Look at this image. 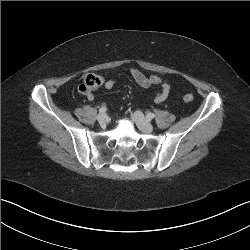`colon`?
Wrapping results in <instances>:
<instances>
[{"instance_id":"5ec220e1","label":"colon","mask_w":250,"mask_h":250,"mask_svg":"<svg viewBox=\"0 0 250 250\" xmlns=\"http://www.w3.org/2000/svg\"><path fill=\"white\" fill-rule=\"evenodd\" d=\"M103 80L100 76L96 74H87L84 78L82 83L78 86V91L81 93H85L89 90L96 89L102 84ZM194 99L192 94H186L183 97V101L186 103L192 102Z\"/></svg>"}]
</instances>
